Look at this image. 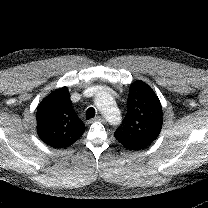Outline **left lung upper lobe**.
<instances>
[{
  "instance_id": "obj_1",
  "label": "left lung upper lobe",
  "mask_w": 208,
  "mask_h": 208,
  "mask_svg": "<svg viewBox=\"0 0 208 208\" xmlns=\"http://www.w3.org/2000/svg\"><path fill=\"white\" fill-rule=\"evenodd\" d=\"M162 122L159 98L146 83L136 81L130 86L127 114L114 136L127 149L140 150L158 137Z\"/></svg>"
}]
</instances>
